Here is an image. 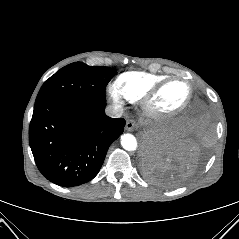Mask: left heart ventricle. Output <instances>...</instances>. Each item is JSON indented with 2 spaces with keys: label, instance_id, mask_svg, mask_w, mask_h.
<instances>
[{
  "label": "left heart ventricle",
  "instance_id": "obj_1",
  "mask_svg": "<svg viewBox=\"0 0 239 239\" xmlns=\"http://www.w3.org/2000/svg\"><path fill=\"white\" fill-rule=\"evenodd\" d=\"M187 96V87L184 83L169 85L156 99L155 106L163 110H172L178 107Z\"/></svg>",
  "mask_w": 239,
  "mask_h": 239
}]
</instances>
